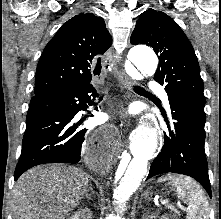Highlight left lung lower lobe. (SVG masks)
Masks as SVG:
<instances>
[{"mask_svg": "<svg viewBox=\"0 0 221 219\" xmlns=\"http://www.w3.org/2000/svg\"><path fill=\"white\" fill-rule=\"evenodd\" d=\"M172 126L164 134V146L151 164L147 179L162 173H179L197 180L211 197L208 165L204 151V108L195 104L169 99Z\"/></svg>", "mask_w": 221, "mask_h": 219, "instance_id": "0a47b994", "label": "left lung lower lobe"}]
</instances>
